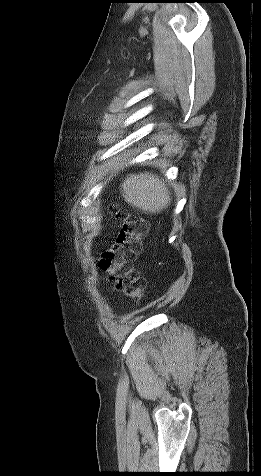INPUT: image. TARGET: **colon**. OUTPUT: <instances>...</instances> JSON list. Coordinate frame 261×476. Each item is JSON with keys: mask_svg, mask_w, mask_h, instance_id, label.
<instances>
[{"mask_svg": "<svg viewBox=\"0 0 261 476\" xmlns=\"http://www.w3.org/2000/svg\"><path fill=\"white\" fill-rule=\"evenodd\" d=\"M121 228L100 258V268L108 275L116 291L139 302L144 296V281L134 262L141 250V239L147 231L143 219L123 211L116 213Z\"/></svg>", "mask_w": 261, "mask_h": 476, "instance_id": "obj_1", "label": "colon"}]
</instances>
